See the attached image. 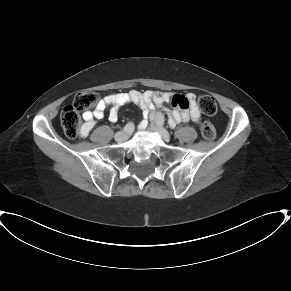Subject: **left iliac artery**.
Returning a JSON list of instances; mask_svg holds the SVG:
<instances>
[{"mask_svg":"<svg viewBox=\"0 0 291 291\" xmlns=\"http://www.w3.org/2000/svg\"><path fill=\"white\" fill-rule=\"evenodd\" d=\"M157 120L159 121V123L163 124L164 123V117L163 116H158Z\"/></svg>","mask_w":291,"mask_h":291,"instance_id":"obj_1","label":"left iliac artery"}]
</instances>
